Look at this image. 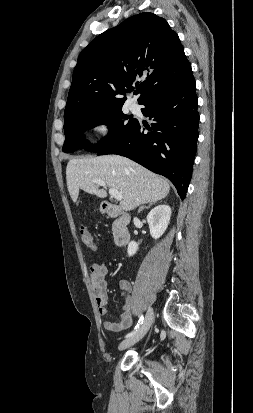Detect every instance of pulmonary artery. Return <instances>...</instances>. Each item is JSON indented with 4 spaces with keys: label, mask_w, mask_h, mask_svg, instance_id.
Masks as SVG:
<instances>
[{
    "label": "pulmonary artery",
    "mask_w": 253,
    "mask_h": 413,
    "mask_svg": "<svg viewBox=\"0 0 253 413\" xmlns=\"http://www.w3.org/2000/svg\"><path fill=\"white\" fill-rule=\"evenodd\" d=\"M129 107H130V110L133 111V112H137L139 110V106H138L137 102H135V101H132L130 103Z\"/></svg>",
    "instance_id": "e3ab8cb5"
}]
</instances>
